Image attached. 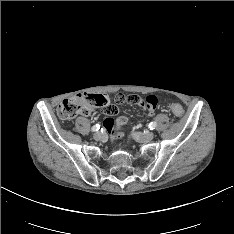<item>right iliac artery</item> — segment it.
Masks as SVG:
<instances>
[{"instance_id":"right-iliac-artery-1","label":"right iliac artery","mask_w":234,"mask_h":234,"mask_svg":"<svg viewBox=\"0 0 234 234\" xmlns=\"http://www.w3.org/2000/svg\"><path fill=\"white\" fill-rule=\"evenodd\" d=\"M100 129V126L98 124L94 125L92 127V131L95 132V131H98Z\"/></svg>"}]
</instances>
